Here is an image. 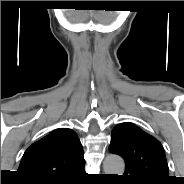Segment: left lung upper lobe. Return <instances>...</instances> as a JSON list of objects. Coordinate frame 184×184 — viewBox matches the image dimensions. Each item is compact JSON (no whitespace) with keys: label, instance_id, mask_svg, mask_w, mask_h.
<instances>
[{"label":"left lung upper lobe","instance_id":"obj_1","mask_svg":"<svg viewBox=\"0 0 184 184\" xmlns=\"http://www.w3.org/2000/svg\"><path fill=\"white\" fill-rule=\"evenodd\" d=\"M109 151L125 160L124 178L132 184H167L171 179L161 143L134 123L113 128Z\"/></svg>","mask_w":184,"mask_h":184}]
</instances>
